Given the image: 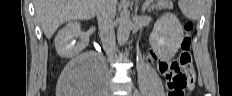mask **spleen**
Listing matches in <instances>:
<instances>
[{
    "mask_svg": "<svg viewBox=\"0 0 232 96\" xmlns=\"http://www.w3.org/2000/svg\"><path fill=\"white\" fill-rule=\"evenodd\" d=\"M178 6L185 17L190 20H197L202 15V0H179Z\"/></svg>",
    "mask_w": 232,
    "mask_h": 96,
    "instance_id": "spleen-1",
    "label": "spleen"
}]
</instances>
